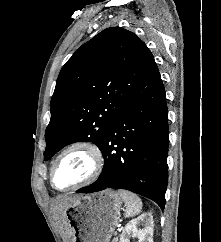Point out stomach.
<instances>
[{"mask_svg":"<svg viewBox=\"0 0 221 242\" xmlns=\"http://www.w3.org/2000/svg\"><path fill=\"white\" fill-rule=\"evenodd\" d=\"M121 204L112 190L77 197L65 209L70 242H109L120 220Z\"/></svg>","mask_w":221,"mask_h":242,"instance_id":"stomach-1","label":"stomach"}]
</instances>
